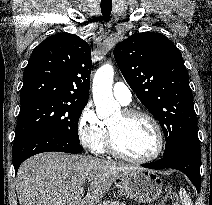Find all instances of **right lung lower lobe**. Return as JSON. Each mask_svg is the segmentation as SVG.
<instances>
[{
    "instance_id": "1",
    "label": "right lung lower lobe",
    "mask_w": 212,
    "mask_h": 205,
    "mask_svg": "<svg viewBox=\"0 0 212 205\" xmlns=\"http://www.w3.org/2000/svg\"><path fill=\"white\" fill-rule=\"evenodd\" d=\"M83 147L79 142L51 133H36L21 137L13 144V165L17 173L20 164L27 158L47 151L80 153Z\"/></svg>"
}]
</instances>
